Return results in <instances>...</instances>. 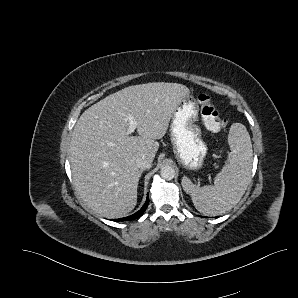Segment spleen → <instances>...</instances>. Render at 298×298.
<instances>
[{
  "label": "spleen",
  "instance_id": "1",
  "mask_svg": "<svg viewBox=\"0 0 298 298\" xmlns=\"http://www.w3.org/2000/svg\"><path fill=\"white\" fill-rule=\"evenodd\" d=\"M227 140L230 163L216 176L214 186L196 187L189 179L182 180L183 188L192 193L195 208L206 215H219L232 209L251 180L253 149L247 128L240 123L233 124Z\"/></svg>",
  "mask_w": 298,
  "mask_h": 298
}]
</instances>
